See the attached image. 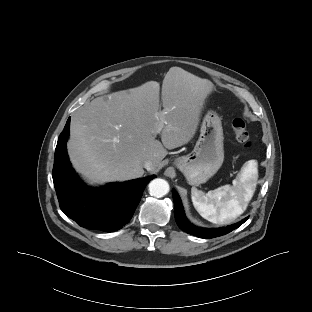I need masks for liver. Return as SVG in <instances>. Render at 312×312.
Here are the masks:
<instances>
[{
    "label": "liver",
    "instance_id": "1",
    "mask_svg": "<svg viewBox=\"0 0 312 312\" xmlns=\"http://www.w3.org/2000/svg\"><path fill=\"white\" fill-rule=\"evenodd\" d=\"M214 90L211 81L172 67L162 84V111L156 81L93 99L71 119L68 154L74 168L90 184L139 178L145 160L156 169L167 149L194 137Z\"/></svg>",
    "mask_w": 312,
    "mask_h": 312
}]
</instances>
